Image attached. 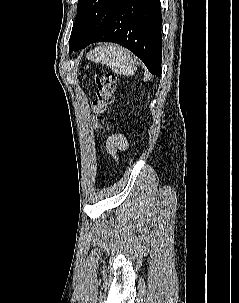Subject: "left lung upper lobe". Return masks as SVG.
Here are the masks:
<instances>
[{
  "label": "left lung upper lobe",
  "mask_w": 239,
  "mask_h": 303,
  "mask_svg": "<svg viewBox=\"0 0 239 303\" xmlns=\"http://www.w3.org/2000/svg\"><path fill=\"white\" fill-rule=\"evenodd\" d=\"M117 0H79L69 40L70 52L80 49L85 37L94 30Z\"/></svg>",
  "instance_id": "obj_1"
}]
</instances>
